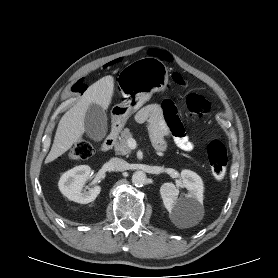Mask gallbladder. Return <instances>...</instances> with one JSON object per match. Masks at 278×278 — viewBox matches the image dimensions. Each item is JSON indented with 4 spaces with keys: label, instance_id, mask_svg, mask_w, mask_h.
<instances>
[{
    "label": "gallbladder",
    "instance_id": "1",
    "mask_svg": "<svg viewBox=\"0 0 278 278\" xmlns=\"http://www.w3.org/2000/svg\"><path fill=\"white\" fill-rule=\"evenodd\" d=\"M86 135L93 141L99 142L106 136L107 116L105 110L97 105L90 104L84 118Z\"/></svg>",
    "mask_w": 278,
    "mask_h": 278
}]
</instances>
